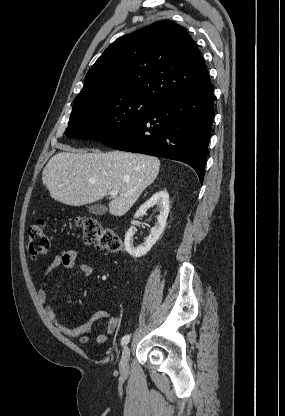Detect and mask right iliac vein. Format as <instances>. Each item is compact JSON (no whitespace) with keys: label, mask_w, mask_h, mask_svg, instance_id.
I'll return each mask as SVG.
<instances>
[{"label":"right iliac vein","mask_w":285,"mask_h":416,"mask_svg":"<svg viewBox=\"0 0 285 416\" xmlns=\"http://www.w3.org/2000/svg\"><path fill=\"white\" fill-rule=\"evenodd\" d=\"M130 347L125 346L122 352L119 368L122 374H127L129 371Z\"/></svg>","instance_id":"1"}]
</instances>
